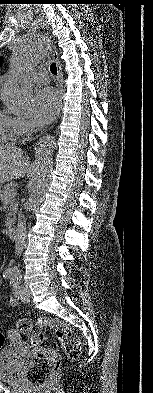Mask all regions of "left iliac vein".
I'll use <instances>...</instances> for the list:
<instances>
[{
	"instance_id": "4c4485c4",
	"label": "left iliac vein",
	"mask_w": 153,
	"mask_h": 393,
	"mask_svg": "<svg viewBox=\"0 0 153 393\" xmlns=\"http://www.w3.org/2000/svg\"><path fill=\"white\" fill-rule=\"evenodd\" d=\"M20 294H19V297L24 301V302H27L28 301V298H29V296H30V293H29V289L27 288V286H25V285H22V286H20Z\"/></svg>"
}]
</instances>
